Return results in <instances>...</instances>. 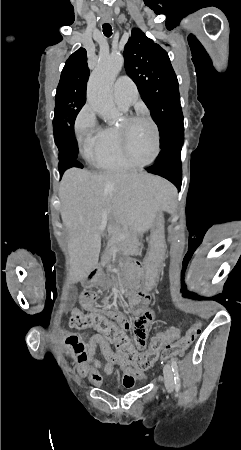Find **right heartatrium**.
Returning <instances> with one entry per match:
<instances>
[{
  "instance_id": "obj_1",
  "label": "right heart atrium",
  "mask_w": 241,
  "mask_h": 450,
  "mask_svg": "<svg viewBox=\"0 0 241 450\" xmlns=\"http://www.w3.org/2000/svg\"><path fill=\"white\" fill-rule=\"evenodd\" d=\"M88 115L87 111L79 114L76 127L80 136L76 135V139L84 155H95L99 147V131L95 127L99 124V117ZM88 130H90L89 133Z\"/></svg>"
}]
</instances>
